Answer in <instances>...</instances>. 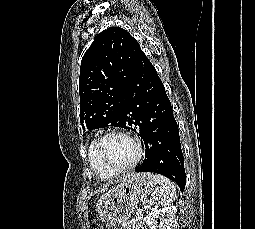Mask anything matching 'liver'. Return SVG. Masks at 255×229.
<instances>
[{"mask_svg":"<svg viewBox=\"0 0 255 229\" xmlns=\"http://www.w3.org/2000/svg\"><path fill=\"white\" fill-rule=\"evenodd\" d=\"M116 188H112L111 190H109L107 193H105L99 200L98 204H97V210H99V208L101 207V205L103 204V201L109 197L110 195H112L115 192Z\"/></svg>","mask_w":255,"mask_h":229,"instance_id":"liver-1","label":"liver"}]
</instances>
